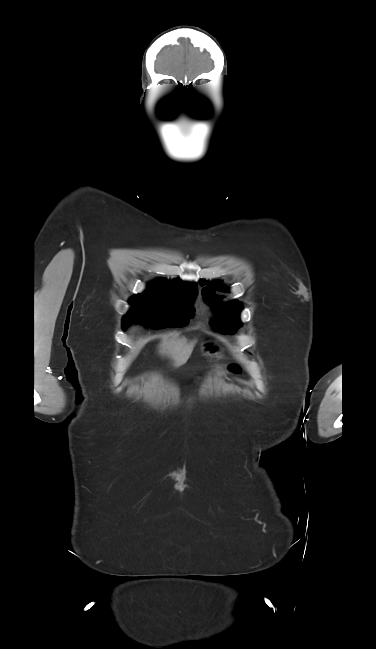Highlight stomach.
Returning a JSON list of instances; mask_svg holds the SVG:
<instances>
[{
  "label": "stomach",
  "mask_w": 376,
  "mask_h": 649,
  "mask_svg": "<svg viewBox=\"0 0 376 649\" xmlns=\"http://www.w3.org/2000/svg\"><path fill=\"white\" fill-rule=\"evenodd\" d=\"M201 350L203 354H207L209 356H213L216 358H222L223 354V349L216 344L215 342L209 341L205 342L201 345Z\"/></svg>",
  "instance_id": "obj_1"
}]
</instances>
